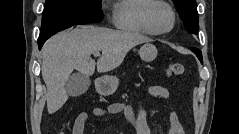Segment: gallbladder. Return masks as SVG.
Returning <instances> with one entry per match:
<instances>
[{"label":"gallbladder","mask_w":239,"mask_h":134,"mask_svg":"<svg viewBox=\"0 0 239 134\" xmlns=\"http://www.w3.org/2000/svg\"><path fill=\"white\" fill-rule=\"evenodd\" d=\"M90 85V78L82 73L71 75L66 82V90L70 96H80L84 94Z\"/></svg>","instance_id":"obj_1"}]
</instances>
